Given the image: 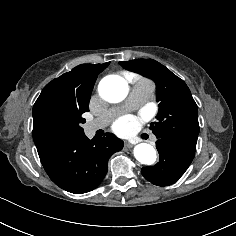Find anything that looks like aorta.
<instances>
[{
    "instance_id": "aorta-1",
    "label": "aorta",
    "mask_w": 236,
    "mask_h": 236,
    "mask_svg": "<svg viewBox=\"0 0 236 236\" xmlns=\"http://www.w3.org/2000/svg\"><path fill=\"white\" fill-rule=\"evenodd\" d=\"M98 90L104 100L110 103H118L126 98L129 87L124 78L111 75L101 80ZM133 153L136 160L142 164L152 165L156 162V151L153 146L147 143L136 145Z\"/></svg>"
}]
</instances>
